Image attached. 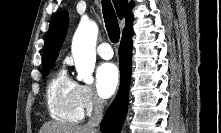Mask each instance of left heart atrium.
<instances>
[{"label": "left heart atrium", "mask_w": 221, "mask_h": 133, "mask_svg": "<svg viewBox=\"0 0 221 133\" xmlns=\"http://www.w3.org/2000/svg\"><path fill=\"white\" fill-rule=\"evenodd\" d=\"M119 84V72L113 63H103L96 70V88L103 98L110 97Z\"/></svg>", "instance_id": "39dd6f15"}]
</instances>
